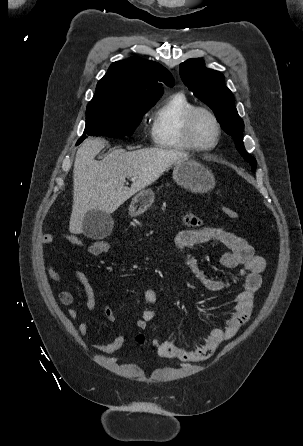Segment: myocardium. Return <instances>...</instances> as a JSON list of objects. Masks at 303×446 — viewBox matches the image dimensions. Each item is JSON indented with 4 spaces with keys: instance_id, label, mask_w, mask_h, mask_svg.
I'll use <instances>...</instances> for the list:
<instances>
[{
    "instance_id": "1",
    "label": "myocardium",
    "mask_w": 303,
    "mask_h": 446,
    "mask_svg": "<svg viewBox=\"0 0 303 446\" xmlns=\"http://www.w3.org/2000/svg\"><path fill=\"white\" fill-rule=\"evenodd\" d=\"M199 113L206 114L212 120V122L215 126L216 137H215L214 142L209 146L199 145L193 137V132H192L193 121H194L196 115H198ZM182 131H183V137H184L185 141L187 142V144L192 149L197 150V151L213 150L219 144L221 135H222V128H221V125H220V122H219L217 116L210 109H208L206 107H201V106H195L186 114V116L184 118V122H183Z\"/></svg>"
}]
</instances>
